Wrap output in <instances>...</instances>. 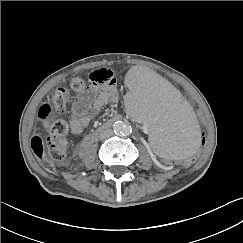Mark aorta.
I'll list each match as a JSON object with an SVG mask.
<instances>
[{
    "label": "aorta",
    "mask_w": 243,
    "mask_h": 243,
    "mask_svg": "<svg viewBox=\"0 0 243 243\" xmlns=\"http://www.w3.org/2000/svg\"><path fill=\"white\" fill-rule=\"evenodd\" d=\"M113 129L115 133L121 135H129L132 131L131 126L124 121H116L113 125Z\"/></svg>",
    "instance_id": "1"
}]
</instances>
